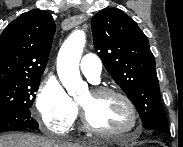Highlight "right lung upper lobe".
<instances>
[{
  "instance_id": "cb5924a9",
  "label": "right lung upper lobe",
  "mask_w": 183,
  "mask_h": 147,
  "mask_svg": "<svg viewBox=\"0 0 183 147\" xmlns=\"http://www.w3.org/2000/svg\"><path fill=\"white\" fill-rule=\"evenodd\" d=\"M55 33L53 17L31 10L12 21L0 35V81L41 76Z\"/></svg>"
}]
</instances>
